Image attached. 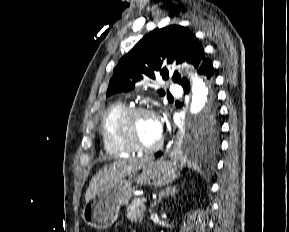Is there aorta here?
Returning a JSON list of instances; mask_svg holds the SVG:
<instances>
[{"mask_svg": "<svg viewBox=\"0 0 289 232\" xmlns=\"http://www.w3.org/2000/svg\"><path fill=\"white\" fill-rule=\"evenodd\" d=\"M192 102L190 104V113L198 116L199 119H205L213 113L210 106V89L206 83L197 75H192Z\"/></svg>", "mask_w": 289, "mask_h": 232, "instance_id": "aorta-1", "label": "aorta"}]
</instances>
